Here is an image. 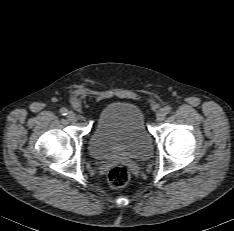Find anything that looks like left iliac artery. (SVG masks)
<instances>
[{
	"mask_svg": "<svg viewBox=\"0 0 234 231\" xmlns=\"http://www.w3.org/2000/svg\"><path fill=\"white\" fill-rule=\"evenodd\" d=\"M164 111H165L166 114H169L171 112V107L170 106H166L164 108Z\"/></svg>",
	"mask_w": 234,
	"mask_h": 231,
	"instance_id": "left-iliac-artery-1",
	"label": "left iliac artery"
}]
</instances>
